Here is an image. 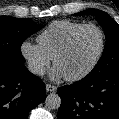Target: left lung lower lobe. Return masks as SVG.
I'll return each instance as SVG.
<instances>
[{
    "label": "left lung lower lobe",
    "mask_w": 119,
    "mask_h": 119,
    "mask_svg": "<svg viewBox=\"0 0 119 119\" xmlns=\"http://www.w3.org/2000/svg\"><path fill=\"white\" fill-rule=\"evenodd\" d=\"M62 103L57 119H119V69L104 75L89 73L58 89Z\"/></svg>",
    "instance_id": "1"
}]
</instances>
